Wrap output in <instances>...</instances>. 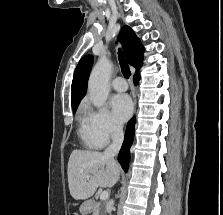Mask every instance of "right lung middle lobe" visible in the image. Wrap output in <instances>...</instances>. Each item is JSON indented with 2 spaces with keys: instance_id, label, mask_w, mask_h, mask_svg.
I'll return each instance as SVG.
<instances>
[{
  "instance_id": "1",
  "label": "right lung middle lobe",
  "mask_w": 223,
  "mask_h": 215,
  "mask_svg": "<svg viewBox=\"0 0 223 215\" xmlns=\"http://www.w3.org/2000/svg\"><path fill=\"white\" fill-rule=\"evenodd\" d=\"M77 108L73 109V111L75 112Z\"/></svg>"
}]
</instances>
